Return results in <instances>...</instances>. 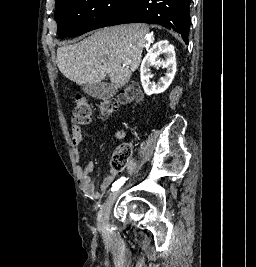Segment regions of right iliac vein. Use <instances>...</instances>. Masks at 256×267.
<instances>
[{
	"instance_id": "right-iliac-vein-1",
	"label": "right iliac vein",
	"mask_w": 256,
	"mask_h": 267,
	"mask_svg": "<svg viewBox=\"0 0 256 267\" xmlns=\"http://www.w3.org/2000/svg\"><path fill=\"white\" fill-rule=\"evenodd\" d=\"M120 191L121 190H117V191L113 192L112 194H110V196L107 198L104 205L100 209V211L98 213V217H97L98 226L100 228H105L106 225L108 224L111 208H112L113 204L115 203Z\"/></svg>"
}]
</instances>
